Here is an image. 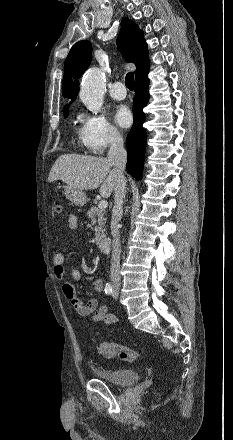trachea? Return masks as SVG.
I'll return each instance as SVG.
<instances>
[{
  "label": "trachea",
  "instance_id": "3493384b",
  "mask_svg": "<svg viewBox=\"0 0 233 440\" xmlns=\"http://www.w3.org/2000/svg\"><path fill=\"white\" fill-rule=\"evenodd\" d=\"M125 85L128 89L133 90L134 88V74L129 72L125 77Z\"/></svg>",
  "mask_w": 233,
  "mask_h": 440
}]
</instances>
